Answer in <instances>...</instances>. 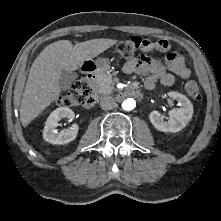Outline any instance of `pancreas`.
Returning a JSON list of instances; mask_svg holds the SVG:
<instances>
[{
    "label": "pancreas",
    "mask_w": 221,
    "mask_h": 221,
    "mask_svg": "<svg viewBox=\"0 0 221 221\" xmlns=\"http://www.w3.org/2000/svg\"><path fill=\"white\" fill-rule=\"evenodd\" d=\"M95 94H110L114 91V83L110 74H99L96 84L93 85Z\"/></svg>",
    "instance_id": "1"
}]
</instances>
